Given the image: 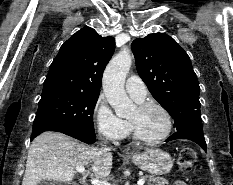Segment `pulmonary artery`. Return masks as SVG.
I'll list each match as a JSON object with an SVG mask.
<instances>
[{
    "instance_id": "pulmonary-artery-1",
    "label": "pulmonary artery",
    "mask_w": 233,
    "mask_h": 185,
    "mask_svg": "<svg viewBox=\"0 0 233 185\" xmlns=\"http://www.w3.org/2000/svg\"><path fill=\"white\" fill-rule=\"evenodd\" d=\"M125 87L127 92L136 101H142L147 96V88L143 80L135 75L129 76L126 80Z\"/></svg>"
}]
</instances>
